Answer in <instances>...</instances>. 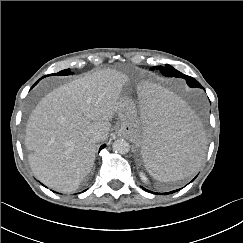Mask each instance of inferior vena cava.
Listing matches in <instances>:
<instances>
[{"label": "inferior vena cava", "mask_w": 243, "mask_h": 243, "mask_svg": "<svg viewBox=\"0 0 243 243\" xmlns=\"http://www.w3.org/2000/svg\"><path fill=\"white\" fill-rule=\"evenodd\" d=\"M93 140H94L95 142H99L100 140H102V134H101V133H95V134L93 135Z\"/></svg>", "instance_id": "602c4592"}]
</instances>
